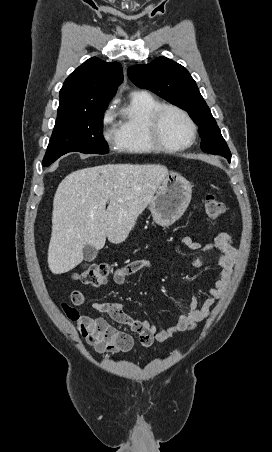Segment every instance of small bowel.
Listing matches in <instances>:
<instances>
[{
	"label": "small bowel",
	"mask_w": 272,
	"mask_h": 452,
	"mask_svg": "<svg viewBox=\"0 0 272 452\" xmlns=\"http://www.w3.org/2000/svg\"><path fill=\"white\" fill-rule=\"evenodd\" d=\"M181 244L190 251H203L204 255L190 259V263L194 267H201L204 264L206 254L215 253L219 274L214 284L207 289V298L204 302L200 304L194 298L188 311L179 315L173 325L159 330L155 324L147 320H135L126 312L120 302H92L90 307L107 314L117 323L130 327L133 332L138 334L140 343L144 347H149L154 342H165L181 332L194 329L197 323L205 321L209 317L216 302L222 298L230 283L233 268L239 258V252L234 245L232 236L227 232L219 233L213 242L205 245L189 236L182 237ZM144 270H154V265L150 260H132L117 267L113 279L115 283L123 284L128 277ZM150 298L155 300L154 295H151ZM71 301L74 305H84L86 297L83 292L74 290L71 293ZM62 308L68 318L76 323L87 343L97 351H107V345L112 350L120 352H127L133 347L134 342L131 335L112 328L105 319L82 315L75 307L67 303L62 304Z\"/></svg>",
	"instance_id": "c3829d8e"
}]
</instances>
